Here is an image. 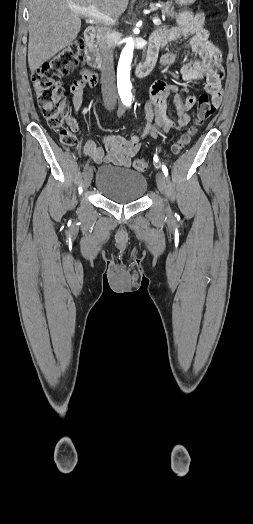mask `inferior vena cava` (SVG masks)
I'll use <instances>...</instances> for the list:
<instances>
[{"label":"inferior vena cava","mask_w":253,"mask_h":524,"mask_svg":"<svg viewBox=\"0 0 253 524\" xmlns=\"http://www.w3.org/2000/svg\"><path fill=\"white\" fill-rule=\"evenodd\" d=\"M100 50L102 53L101 88L105 105L114 107L117 103L115 72L113 65L114 42L109 33L99 34Z\"/></svg>","instance_id":"obj_1"}]
</instances>
